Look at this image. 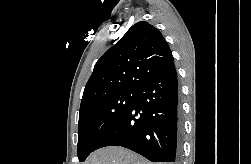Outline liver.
Segmentation results:
<instances>
[{
	"mask_svg": "<svg viewBox=\"0 0 251 164\" xmlns=\"http://www.w3.org/2000/svg\"><path fill=\"white\" fill-rule=\"evenodd\" d=\"M84 164H151L140 155L123 147L101 148L88 157Z\"/></svg>",
	"mask_w": 251,
	"mask_h": 164,
	"instance_id": "1",
	"label": "liver"
}]
</instances>
